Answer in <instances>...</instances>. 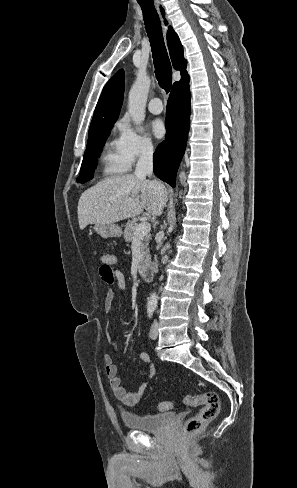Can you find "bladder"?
I'll return each instance as SVG.
<instances>
[{
	"mask_svg": "<svg viewBox=\"0 0 297 488\" xmlns=\"http://www.w3.org/2000/svg\"><path fill=\"white\" fill-rule=\"evenodd\" d=\"M174 414L171 412L140 416L131 412H123L121 419L124 426L143 432H158L163 430L173 420Z\"/></svg>",
	"mask_w": 297,
	"mask_h": 488,
	"instance_id": "31cf9c89",
	"label": "bladder"
}]
</instances>
